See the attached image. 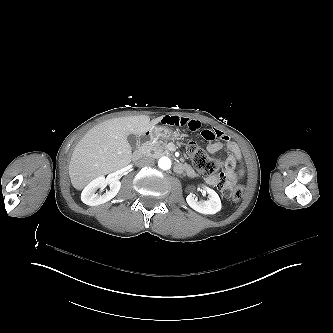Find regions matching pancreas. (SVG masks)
I'll return each mask as SVG.
<instances>
[{
    "instance_id": "1",
    "label": "pancreas",
    "mask_w": 333,
    "mask_h": 333,
    "mask_svg": "<svg viewBox=\"0 0 333 333\" xmlns=\"http://www.w3.org/2000/svg\"><path fill=\"white\" fill-rule=\"evenodd\" d=\"M167 142L162 140H157L156 142L146 146L142 149L144 156H150L153 158H159L166 154H169V150L166 146Z\"/></svg>"
}]
</instances>
